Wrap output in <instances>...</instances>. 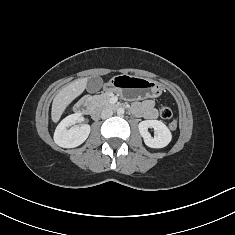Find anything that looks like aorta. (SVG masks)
<instances>
[{"label":"aorta","instance_id":"762f6f07","mask_svg":"<svg viewBox=\"0 0 235 235\" xmlns=\"http://www.w3.org/2000/svg\"><path fill=\"white\" fill-rule=\"evenodd\" d=\"M117 114H118V115L124 114V108H118V109H117Z\"/></svg>","mask_w":235,"mask_h":235}]
</instances>
